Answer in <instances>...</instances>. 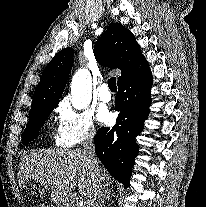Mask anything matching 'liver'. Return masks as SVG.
<instances>
[{
	"mask_svg": "<svg viewBox=\"0 0 206 207\" xmlns=\"http://www.w3.org/2000/svg\"><path fill=\"white\" fill-rule=\"evenodd\" d=\"M100 164V163H99ZM94 170L81 149L39 150L26 154L19 165L18 182L24 186L30 178L51 193L58 207H67L73 199V190L88 201L94 195ZM100 180L104 186L112 184L111 176L100 164Z\"/></svg>",
	"mask_w": 206,
	"mask_h": 207,
	"instance_id": "obj_1",
	"label": "liver"
}]
</instances>
